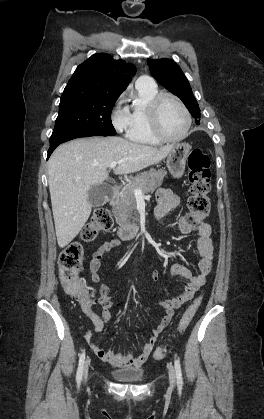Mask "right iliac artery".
<instances>
[{
  "label": "right iliac artery",
  "instance_id": "right-iliac-artery-1",
  "mask_svg": "<svg viewBox=\"0 0 264 419\" xmlns=\"http://www.w3.org/2000/svg\"><path fill=\"white\" fill-rule=\"evenodd\" d=\"M84 360H85V352H82L79 356V365H78L77 374H76L77 383H80L82 380Z\"/></svg>",
  "mask_w": 264,
  "mask_h": 419
}]
</instances>
